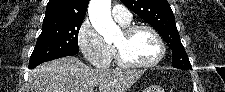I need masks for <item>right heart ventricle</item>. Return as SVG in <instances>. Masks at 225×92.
I'll return each mask as SVG.
<instances>
[{
  "mask_svg": "<svg viewBox=\"0 0 225 92\" xmlns=\"http://www.w3.org/2000/svg\"><path fill=\"white\" fill-rule=\"evenodd\" d=\"M123 27H127L128 26V24H126V25H123V24H121ZM113 54H114V56H115V50L113 49ZM115 58H116V56H115ZM116 60H117V58H116Z\"/></svg>",
  "mask_w": 225,
  "mask_h": 92,
  "instance_id": "obj_1",
  "label": "right heart ventricle"
}]
</instances>
